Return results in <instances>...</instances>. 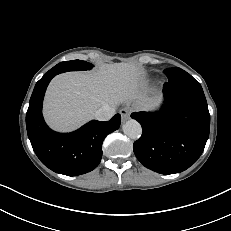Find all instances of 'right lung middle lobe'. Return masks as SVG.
I'll list each match as a JSON object with an SVG mask.
<instances>
[{
    "instance_id": "obj_1",
    "label": "right lung middle lobe",
    "mask_w": 231,
    "mask_h": 231,
    "mask_svg": "<svg viewBox=\"0 0 231 231\" xmlns=\"http://www.w3.org/2000/svg\"><path fill=\"white\" fill-rule=\"evenodd\" d=\"M92 67L93 65L91 63L82 60H72V61H66L57 64L55 67L49 70L47 74H52V73L59 74L67 71L89 70Z\"/></svg>"
}]
</instances>
